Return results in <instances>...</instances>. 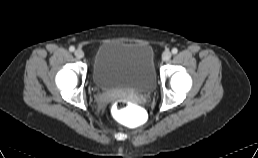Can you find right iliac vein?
<instances>
[{"label": "right iliac vein", "instance_id": "obj_1", "mask_svg": "<svg viewBox=\"0 0 258 158\" xmlns=\"http://www.w3.org/2000/svg\"><path fill=\"white\" fill-rule=\"evenodd\" d=\"M74 55L76 56V58L81 59V58L84 57V52H83L81 49H77V50L74 52Z\"/></svg>", "mask_w": 258, "mask_h": 158}]
</instances>
